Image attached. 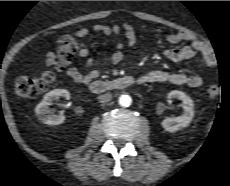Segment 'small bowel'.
I'll list each match as a JSON object with an SVG mask.
<instances>
[{"mask_svg": "<svg viewBox=\"0 0 230 186\" xmlns=\"http://www.w3.org/2000/svg\"><path fill=\"white\" fill-rule=\"evenodd\" d=\"M91 32L102 33L107 36H123L128 45H133L136 42L137 34L133 26L126 24L124 26L118 25H102L97 24L88 28L78 30L77 35L83 37ZM166 41L171 44H178L183 41L189 42L187 46L178 48H169L163 51V56L172 61L180 62L198 56L200 63L208 68L215 67L216 57L213 51L203 42L197 40L192 34L187 32H174L166 36ZM79 55L85 59V70L81 71L73 66H66L63 70L64 75L73 81L80 84H88L93 79L97 78L102 68H93V59L90 51L87 48H81ZM124 58L123 44L118 42L114 51L110 55V62L112 64L119 63ZM46 65L50 66L55 63V54L47 52L45 55ZM143 83H162L168 82L172 84H185L190 87H199L203 83V77L200 75H190L184 72H167L164 70H151L140 77Z\"/></svg>", "mask_w": 230, "mask_h": 186, "instance_id": "small-bowel-1", "label": "small bowel"}]
</instances>
